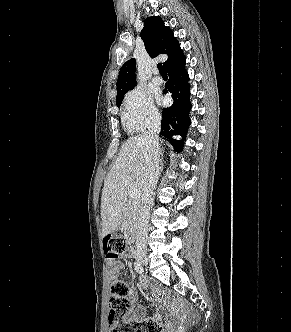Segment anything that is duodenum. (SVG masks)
I'll use <instances>...</instances> for the list:
<instances>
[{"label": "duodenum", "instance_id": "obj_1", "mask_svg": "<svg viewBox=\"0 0 291 332\" xmlns=\"http://www.w3.org/2000/svg\"><path fill=\"white\" fill-rule=\"evenodd\" d=\"M131 241H132L133 243H135L136 239H135L134 236L131 238ZM132 253H133V252H132Z\"/></svg>", "mask_w": 291, "mask_h": 332}]
</instances>
